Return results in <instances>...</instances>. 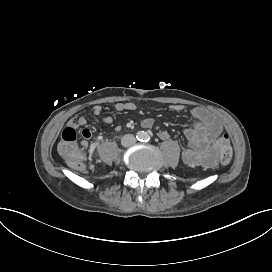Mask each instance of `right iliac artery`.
<instances>
[{
  "mask_svg": "<svg viewBox=\"0 0 272 272\" xmlns=\"http://www.w3.org/2000/svg\"><path fill=\"white\" fill-rule=\"evenodd\" d=\"M145 134L146 133H144V132H138V134H137V139L139 140V141H144V137H145Z\"/></svg>",
  "mask_w": 272,
  "mask_h": 272,
  "instance_id": "82829eb1",
  "label": "right iliac artery"
}]
</instances>
